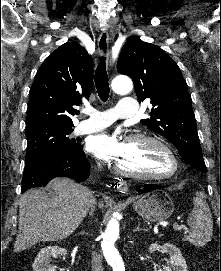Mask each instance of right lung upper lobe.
I'll return each instance as SVG.
<instances>
[{
  "instance_id": "right-lung-upper-lobe-1",
  "label": "right lung upper lobe",
  "mask_w": 221,
  "mask_h": 271,
  "mask_svg": "<svg viewBox=\"0 0 221 271\" xmlns=\"http://www.w3.org/2000/svg\"><path fill=\"white\" fill-rule=\"evenodd\" d=\"M93 65L77 42L57 48L41 65L31 86L26 131L46 125L74 126L75 106L89 98Z\"/></svg>"
}]
</instances>
